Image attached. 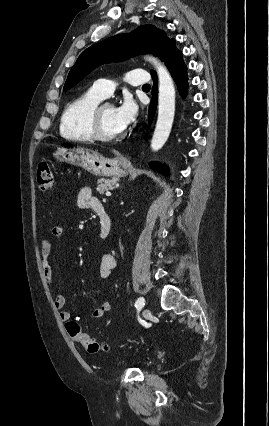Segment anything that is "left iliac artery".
Returning <instances> with one entry per match:
<instances>
[{"label":"left iliac artery","mask_w":269,"mask_h":426,"mask_svg":"<svg viewBox=\"0 0 269 426\" xmlns=\"http://www.w3.org/2000/svg\"><path fill=\"white\" fill-rule=\"evenodd\" d=\"M144 302H145V300H144L143 297L138 298L137 301L135 302V307L137 309H141L145 304Z\"/></svg>","instance_id":"obj_1"}]
</instances>
